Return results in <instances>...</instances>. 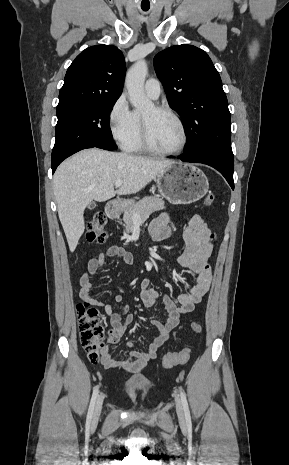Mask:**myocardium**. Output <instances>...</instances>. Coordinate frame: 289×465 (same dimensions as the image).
<instances>
[{"mask_svg":"<svg viewBox=\"0 0 289 465\" xmlns=\"http://www.w3.org/2000/svg\"><path fill=\"white\" fill-rule=\"evenodd\" d=\"M153 107L156 111L167 113L177 122V124L180 127L181 133H182V141H181L180 146L174 150L166 151V150L157 149L156 147L152 145L150 141L147 124L144 118L141 116V140H142V145L144 149L147 152L154 154V155H158V156H173V155H177L181 153L186 148L187 143H188V132H187V128L185 126L184 121L179 116V114L169 106L154 105Z\"/></svg>","mask_w":289,"mask_h":465,"instance_id":"myocardium-1","label":"myocardium"}]
</instances>
